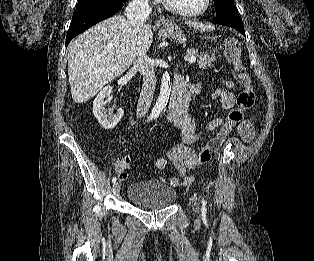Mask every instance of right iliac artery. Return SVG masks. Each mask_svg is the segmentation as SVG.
<instances>
[{
  "label": "right iliac artery",
  "mask_w": 314,
  "mask_h": 261,
  "mask_svg": "<svg viewBox=\"0 0 314 261\" xmlns=\"http://www.w3.org/2000/svg\"><path fill=\"white\" fill-rule=\"evenodd\" d=\"M116 180H117V179H116V177L114 176V177L112 178V182L115 183Z\"/></svg>",
  "instance_id": "obj_1"
}]
</instances>
